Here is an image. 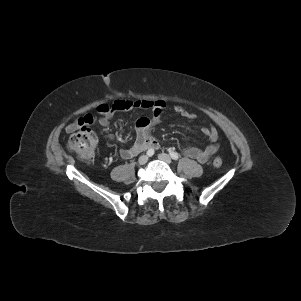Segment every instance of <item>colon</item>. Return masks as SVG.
<instances>
[{"label": "colon", "instance_id": "obj_1", "mask_svg": "<svg viewBox=\"0 0 301 301\" xmlns=\"http://www.w3.org/2000/svg\"><path fill=\"white\" fill-rule=\"evenodd\" d=\"M97 137L89 128H81L73 133L69 138V149L82 161H90L93 159ZM223 161L217 157L213 160L215 167H221Z\"/></svg>", "mask_w": 301, "mask_h": 301}]
</instances>
